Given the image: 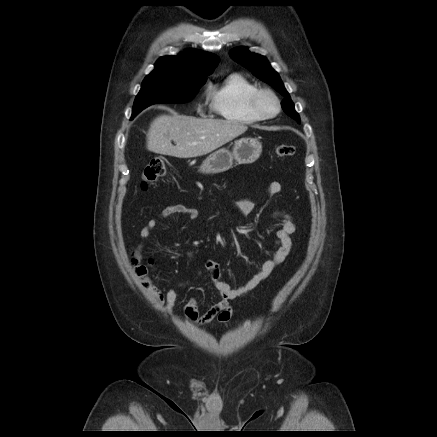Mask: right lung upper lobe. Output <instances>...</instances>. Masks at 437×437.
I'll return each mask as SVG.
<instances>
[{
  "mask_svg": "<svg viewBox=\"0 0 437 437\" xmlns=\"http://www.w3.org/2000/svg\"><path fill=\"white\" fill-rule=\"evenodd\" d=\"M219 62V57L197 50H186L178 56L160 58L151 73L168 74L185 81L206 79Z\"/></svg>",
  "mask_w": 437,
  "mask_h": 437,
  "instance_id": "right-lung-upper-lobe-1",
  "label": "right lung upper lobe"
}]
</instances>
